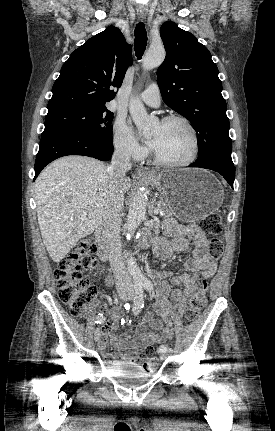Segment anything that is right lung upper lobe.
I'll return each instance as SVG.
<instances>
[{
    "mask_svg": "<svg viewBox=\"0 0 275 431\" xmlns=\"http://www.w3.org/2000/svg\"><path fill=\"white\" fill-rule=\"evenodd\" d=\"M132 61V48L118 28L109 26L76 49L55 81L48 112L100 106L115 97Z\"/></svg>",
    "mask_w": 275,
    "mask_h": 431,
    "instance_id": "1",
    "label": "right lung upper lobe"
}]
</instances>
